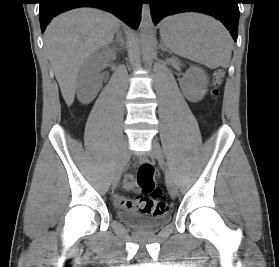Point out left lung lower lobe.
I'll return each mask as SVG.
<instances>
[{"mask_svg": "<svg viewBox=\"0 0 279 267\" xmlns=\"http://www.w3.org/2000/svg\"><path fill=\"white\" fill-rule=\"evenodd\" d=\"M238 0H150L154 24L168 15L181 12H202L218 18L237 40Z\"/></svg>", "mask_w": 279, "mask_h": 267, "instance_id": "left-lung-lower-lobe-1", "label": "left lung lower lobe"}]
</instances>
